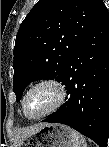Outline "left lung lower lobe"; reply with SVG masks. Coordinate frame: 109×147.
Listing matches in <instances>:
<instances>
[{
	"label": "left lung lower lobe",
	"instance_id": "left-lung-lower-lobe-1",
	"mask_svg": "<svg viewBox=\"0 0 109 147\" xmlns=\"http://www.w3.org/2000/svg\"><path fill=\"white\" fill-rule=\"evenodd\" d=\"M62 83L68 96L43 122L72 127L106 147L109 138V14L106 10L72 54Z\"/></svg>",
	"mask_w": 109,
	"mask_h": 147
}]
</instances>
